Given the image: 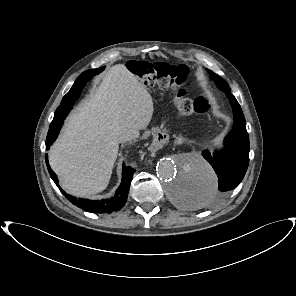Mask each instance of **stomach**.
Masks as SVG:
<instances>
[{
  "label": "stomach",
  "instance_id": "0dacf381",
  "mask_svg": "<svg viewBox=\"0 0 296 296\" xmlns=\"http://www.w3.org/2000/svg\"><path fill=\"white\" fill-rule=\"evenodd\" d=\"M152 134L153 138L149 143V148L153 152H158L161 150L163 140L166 139L168 132L165 127L158 125L154 127Z\"/></svg>",
  "mask_w": 296,
  "mask_h": 296
}]
</instances>
